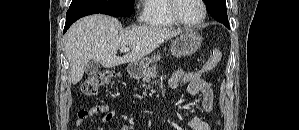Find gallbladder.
Returning a JSON list of instances; mask_svg holds the SVG:
<instances>
[{"instance_id": "bac80fb5", "label": "gallbladder", "mask_w": 299, "mask_h": 130, "mask_svg": "<svg viewBox=\"0 0 299 130\" xmlns=\"http://www.w3.org/2000/svg\"><path fill=\"white\" fill-rule=\"evenodd\" d=\"M100 69L99 62L95 60H90L87 65L85 66V73L88 76L95 75Z\"/></svg>"}]
</instances>
